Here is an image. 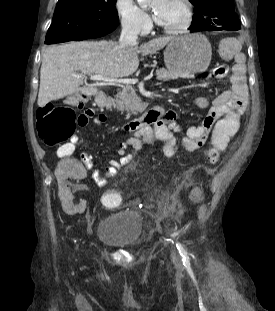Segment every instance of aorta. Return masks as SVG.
Segmentation results:
<instances>
[{
    "label": "aorta",
    "mask_w": 275,
    "mask_h": 311,
    "mask_svg": "<svg viewBox=\"0 0 275 311\" xmlns=\"http://www.w3.org/2000/svg\"><path fill=\"white\" fill-rule=\"evenodd\" d=\"M156 0H137L138 4L140 7L145 8L149 5H151L153 2Z\"/></svg>",
    "instance_id": "762f6f07"
}]
</instances>
